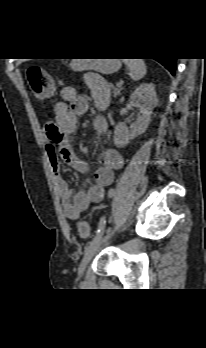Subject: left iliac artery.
<instances>
[{
    "instance_id": "obj_1",
    "label": "left iliac artery",
    "mask_w": 206,
    "mask_h": 348,
    "mask_svg": "<svg viewBox=\"0 0 206 348\" xmlns=\"http://www.w3.org/2000/svg\"><path fill=\"white\" fill-rule=\"evenodd\" d=\"M114 194H117V189H109V197H114ZM105 223H106V216H101L100 225H99V228L97 230L95 237L93 238V241H97L102 237V235L104 233V224Z\"/></svg>"
}]
</instances>
